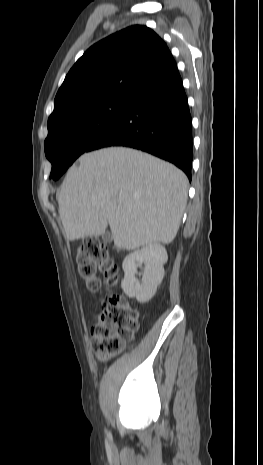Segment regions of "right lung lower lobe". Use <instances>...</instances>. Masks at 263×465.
Segmentation results:
<instances>
[{
    "instance_id": "1",
    "label": "right lung lower lobe",
    "mask_w": 263,
    "mask_h": 465,
    "mask_svg": "<svg viewBox=\"0 0 263 465\" xmlns=\"http://www.w3.org/2000/svg\"><path fill=\"white\" fill-rule=\"evenodd\" d=\"M108 146L151 153L175 164L191 181L192 123L178 70L137 92L125 115L88 151Z\"/></svg>"
}]
</instances>
